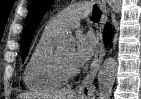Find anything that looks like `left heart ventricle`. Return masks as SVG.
Wrapping results in <instances>:
<instances>
[{"label": "left heart ventricle", "mask_w": 141, "mask_h": 99, "mask_svg": "<svg viewBox=\"0 0 141 99\" xmlns=\"http://www.w3.org/2000/svg\"><path fill=\"white\" fill-rule=\"evenodd\" d=\"M58 56L59 58L61 59V61L68 67H72L73 64H72V61H71V58H72V50L69 49V48H62V49H59L58 51Z\"/></svg>", "instance_id": "obj_1"}]
</instances>
